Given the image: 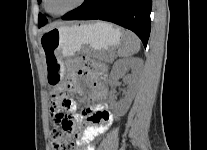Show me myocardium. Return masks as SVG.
<instances>
[{
	"label": "myocardium",
	"instance_id": "obj_1",
	"mask_svg": "<svg viewBox=\"0 0 207 150\" xmlns=\"http://www.w3.org/2000/svg\"><path fill=\"white\" fill-rule=\"evenodd\" d=\"M47 2H48V0H43L44 8H45L47 13H49L51 15H54V16H62V15H65V14L81 7L86 2V0H78L77 3L74 4L72 7L68 8V9H66L62 12H58V13L50 11L49 8H48Z\"/></svg>",
	"mask_w": 207,
	"mask_h": 150
}]
</instances>
